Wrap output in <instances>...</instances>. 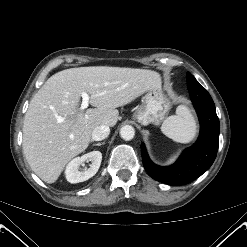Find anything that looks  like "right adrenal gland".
Wrapping results in <instances>:
<instances>
[{
  "label": "right adrenal gland",
  "mask_w": 247,
  "mask_h": 247,
  "mask_svg": "<svg viewBox=\"0 0 247 247\" xmlns=\"http://www.w3.org/2000/svg\"><path fill=\"white\" fill-rule=\"evenodd\" d=\"M105 142H102V143H96V144H93L94 146H101V145H104Z\"/></svg>",
  "instance_id": "2a0ac1e0"
}]
</instances>
